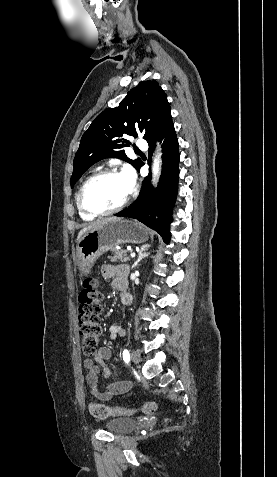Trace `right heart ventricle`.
<instances>
[{"label":"right heart ventricle","mask_w":277,"mask_h":477,"mask_svg":"<svg viewBox=\"0 0 277 477\" xmlns=\"http://www.w3.org/2000/svg\"><path fill=\"white\" fill-rule=\"evenodd\" d=\"M79 213H80V216L82 217V219L87 220V221L93 220L95 218V216H91V215L83 213L80 209H79Z\"/></svg>","instance_id":"right-heart-ventricle-1"}]
</instances>
